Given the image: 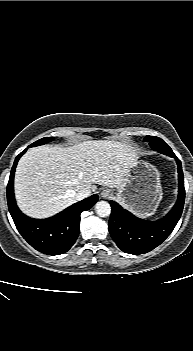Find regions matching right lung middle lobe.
<instances>
[{
  "label": "right lung middle lobe",
  "instance_id": "obj_1",
  "mask_svg": "<svg viewBox=\"0 0 193 351\" xmlns=\"http://www.w3.org/2000/svg\"><path fill=\"white\" fill-rule=\"evenodd\" d=\"M52 139L53 138H51V137H44V138L32 143L29 147H35V146H38V145H43L45 143L50 142Z\"/></svg>",
  "mask_w": 193,
  "mask_h": 351
}]
</instances>
